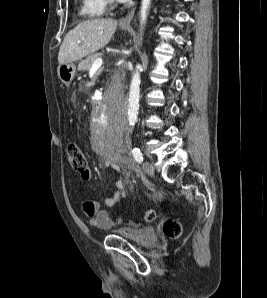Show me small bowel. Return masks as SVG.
Wrapping results in <instances>:
<instances>
[{"mask_svg": "<svg viewBox=\"0 0 267 298\" xmlns=\"http://www.w3.org/2000/svg\"><path fill=\"white\" fill-rule=\"evenodd\" d=\"M111 167L120 171L119 167L115 164H111ZM91 178V171L89 169L88 175L82 177L83 180H89ZM116 191L105 199V204L108 207L114 206L120 199L126 197L125 183L122 177L116 181ZM82 212L89 220L90 224L100 229H111L117 222L121 220V215L112 217L105 209L101 208V204L98 200H87L82 205ZM130 228L121 229L122 233H128Z\"/></svg>", "mask_w": 267, "mask_h": 298, "instance_id": "1", "label": "small bowel"}]
</instances>
